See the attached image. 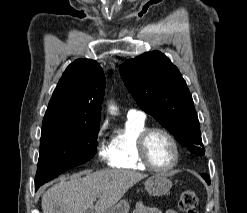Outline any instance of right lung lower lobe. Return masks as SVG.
I'll return each mask as SVG.
<instances>
[{
	"label": "right lung lower lobe",
	"mask_w": 247,
	"mask_h": 213,
	"mask_svg": "<svg viewBox=\"0 0 247 213\" xmlns=\"http://www.w3.org/2000/svg\"><path fill=\"white\" fill-rule=\"evenodd\" d=\"M39 187H35V190H37Z\"/></svg>",
	"instance_id": "right-lung-lower-lobe-1"
}]
</instances>
